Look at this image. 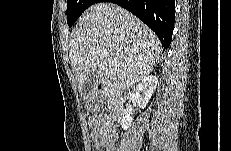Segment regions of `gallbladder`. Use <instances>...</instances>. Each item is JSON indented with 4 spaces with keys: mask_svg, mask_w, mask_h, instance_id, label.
Listing matches in <instances>:
<instances>
[{
    "mask_svg": "<svg viewBox=\"0 0 231 151\" xmlns=\"http://www.w3.org/2000/svg\"><path fill=\"white\" fill-rule=\"evenodd\" d=\"M98 81V75L96 72H92L87 75L81 96L85 101H91L94 98L95 86Z\"/></svg>",
    "mask_w": 231,
    "mask_h": 151,
    "instance_id": "gallbladder-1",
    "label": "gallbladder"
}]
</instances>
